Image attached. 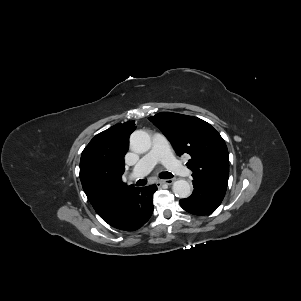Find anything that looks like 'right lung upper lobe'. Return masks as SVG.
Wrapping results in <instances>:
<instances>
[{"instance_id": "obj_1", "label": "right lung upper lobe", "mask_w": 301, "mask_h": 301, "mask_svg": "<svg viewBox=\"0 0 301 301\" xmlns=\"http://www.w3.org/2000/svg\"><path fill=\"white\" fill-rule=\"evenodd\" d=\"M136 129L134 121L117 124L97 134L85 147L80 160V180L95 211L107 223L134 188L125 184L124 156L128 139Z\"/></svg>"}]
</instances>
